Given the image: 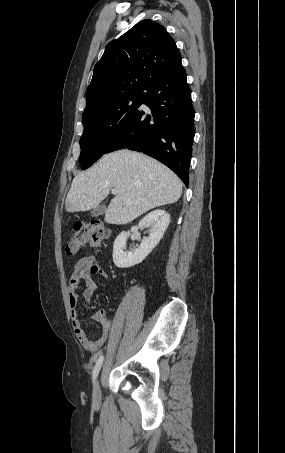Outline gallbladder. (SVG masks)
Here are the masks:
<instances>
[{
	"label": "gallbladder",
	"instance_id": "gallbladder-1",
	"mask_svg": "<svg viewBox=\"0 0 285 453\" xmlns=\"http://www.w3.org/2000/svg\"><path fill=\"white\" fill-rule=\"evenodd\" d=\"M105 211H106V207L104 205H98L92 209L91 216H93V217L100 216V215L104 214Z\"/></svg>",
	"mask_w": 285,
	"mask_h": 453
}]
</instances>
